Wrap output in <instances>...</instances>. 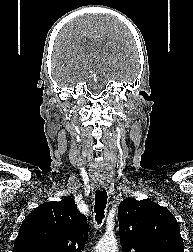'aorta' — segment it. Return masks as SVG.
<instances>
[{
    "mask_svg": "<svg viewBox=\"0 0 193 252\" xmlns=\"http://www.w3.org/2000/svg\"><path fill=\"white\" fill-rule=\"evenodd\" d=\"M117 241L115 238H104L96 246L95 252H116Z\"/></svg>",
    "mask_w": 193,
    "mask_h": 252,
    "instance_id": "obj_1",
    "label": "aorta"
}]
</instances>
